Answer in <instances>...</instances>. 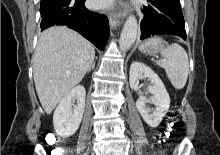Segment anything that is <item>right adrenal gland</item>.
Masks as SVG:
<instances>
[{"instance_id": "1", "label": "right adrenal gland", "mask_w": 220, "mask_h": 155, "mask_svg": "<svg viewBox=\"0 0 220 155\" xmlns=\"http://www.w3.org/2000/svg\"><path fill=\"white\" fill-rule=\"evenodd\" d=\"M94 68H95V61H93L91 67H90L89 70H88V72H89L90 70L94 69Z\"/></svg>"}]
</instances>
